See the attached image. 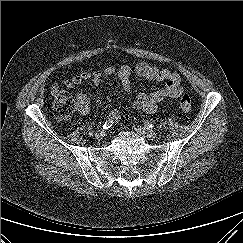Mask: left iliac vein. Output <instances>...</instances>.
<instances>
[{
    "label": "left iliac vein",
    "mask_w": 243,
    "mask_h": 243,
    "mask_svg": "<svg viewBox=\"0 0 243 243\" xmlns=\"http://www.w3.org/2000/svg\"><path fill=\"white\" fill-rule=\"evenodd\" d=\"M133 127L138 133H140L141 135H143L146 138L155 139L157 137V133L155 131H153L152 129L146 128L145 126L134 125Z\"/></svg>",
    "instance_id": "1"
}]
</instances>
